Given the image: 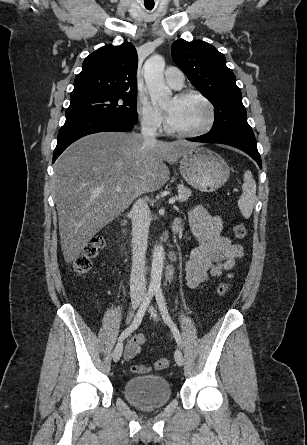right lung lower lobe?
I'll return each mask as SVG.
<instances>
[{"mask_svg":"<svg viewBox=\"0 0 307 445\" xmlns=\"http://www.w3.org/2000/svg\"><path fill=\"white\" fill-rule=\"evenodd\" d=\"M136 123L104 115H82L66 118L58 134L53 162L74 141L97 132H124L134 128Z\"/></svg>","mask_w":307,"mask_h":445,"instance_id":"1","label":"right lung lower lobe"}]
</instances>
